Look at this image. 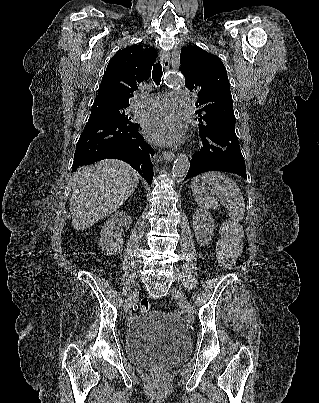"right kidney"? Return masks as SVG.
Masks as SVG:
<instances>
[{
    "instance_id": "ca27d5eb",
    "label": "right kidney",
    "mask_w": 319,
    "mask_h": 403,
    "mask_svg": "<svg viewBox=\"0 0 319 403\" xmlns=\"http://www.w3.org/2000/svg\"><path fill=\"white\" fill-rule=\"evenodd\" d=\"M131 223V217L125 212H116L106 221L100 232L99 245L107 255H117L123 248L122 234L114 232L115 225L128 229Z\"/></svg>"
}]
</instances>
